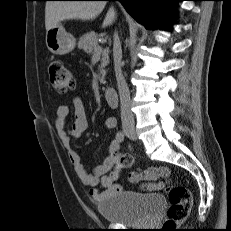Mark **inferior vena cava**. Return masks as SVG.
Returning <instances> with one entry per match:
<instances>
[{
  "instance_id": "602c4592",
  "label": "inferior vena cava",
  "mask_w": 231,
  "mask_h": 231,
  "mask_svg": "<svg viewBox=\"0 0 231 231\" xmlns=\"http://www.w3.org/2000/svg\"><path fill=\"white\" fill-rule=\"evenodd\" d=\"M113 43V59H114V70L118 85V91L120 95L121 104V121L123 126L134 127L135 121L133 113L131 111V99L130 92L122 73V49L118 33H114Z\"/></svg>"
}]
</instances>
